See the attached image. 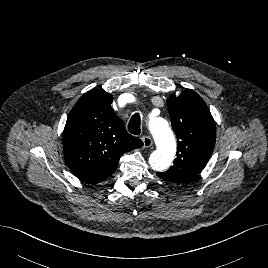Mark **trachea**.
Instances as JSON below:
<instances>
[{
    "label": "trachea",
    "mask_w": 268,
    "mask_h": 268,
    "mask_svg": "<svg viewBox=\"0 0 268 268\" xmlns=\"http://www.w3.org/2000/svg\"><path fill=\"white\" fill-rule=\"evenodd\" d=\"M128 131L134 135H140L141 128H140V115L135 113L128 124Z\"/></svg>",
    "instance_id": "3493384b"
}]
</instances>
